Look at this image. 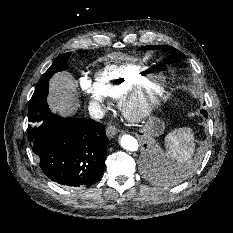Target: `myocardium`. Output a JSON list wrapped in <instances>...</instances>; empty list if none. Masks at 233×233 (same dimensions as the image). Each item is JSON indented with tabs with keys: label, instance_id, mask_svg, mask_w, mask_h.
Instances as JSON below:
<instances>
[{
	"label": "myocardium",
	"instance_id": "1",
	"mask_svg": "<svg viewBox=\"0 0 233 233\" xmlns=\"http://www.w3.org/2000/svg\"><path fill=\"white\" fill-rule=\"evenodd\" d=\"M165 91V77L154 75L145 82L124 91L120 96V109L129 121H141L153 112Z\"/></svg>",
	"mask_w": 233,
	"mask_h": 233
}]
</instances>
